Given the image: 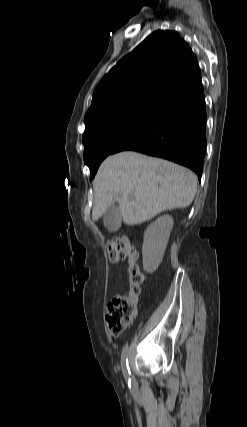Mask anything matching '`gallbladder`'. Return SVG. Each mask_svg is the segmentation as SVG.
Listing matches in <instances>:
<instances>
[{
    "mask_svg": "<svg viewBox=\"0 0 247 427\" xmlns=\"http://www.w3.org/2000/svg\"><path fill=\"white\" fill-rule=\"evenodd\" d=\"M122 214L117 203L111 204L103 214L104 226L111 232L117 231L121 225Z\"/></svg>",
    "mask_w": 247,
    "mask_h": 427,
    "instance_id": "bac80fb5",
    "label": "gallbladder"
}]
</instances>
